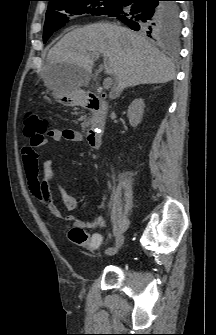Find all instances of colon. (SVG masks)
<instances>
[{
    "label": "colon",
    "mask_w": 216,
    "mask_h": 335,
    "mask_svg": "<svg viewBox=\"0 0 216 335\" xmlns=\"http://www.w3.org/2000/svg\"><path fill=\"white\" fill-rule=\"evenodd\" d=\"M24 133L30 140V146L37 148L46 138L48 132V120L34 111H30L24 118ZM72 243L80 247L97 249L101 244L99 237L89 236L82 228L73 227L68 233Z\"/></svg>",
    "instance_id": "colon-1"
}]
</instances>
